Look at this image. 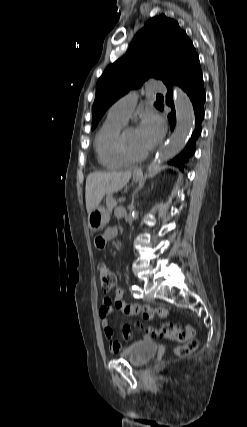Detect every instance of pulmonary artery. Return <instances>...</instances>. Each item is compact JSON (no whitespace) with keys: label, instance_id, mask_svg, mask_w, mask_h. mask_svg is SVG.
<instances>
[{"label":"pulmonary artery","instance_id":"pulmonary-artery-1","mask_svg":"<svg viewBox=\"0 0 247 427\" xmlns=\"http://www.w3.org/2000/svg\"><path fill=\"white\" fill-rule=\"evenodd\" d=\"M151 91H164L165 87L156 81H152L148 87ZM138 100V94L136 91H131L118 99L109 109L108 115L112 117H116L126 121Z\"/></svg>","mask_w":247,"mask_h":427}]
</instances>
